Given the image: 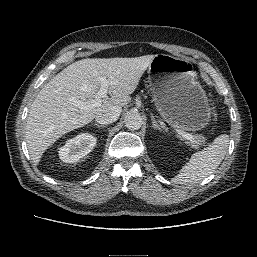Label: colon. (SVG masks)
<instances>
[{
  "instance_id": "5ec220e1",
  "label": "colon",
  "mask_w": 257,
  "mask_h": 257,
  "mask_svg": "<svg viewBox=\"0 0 257 257\" xmlns=\"http://www.w3.org/2000/svg\"><path fill=\"white\" fill-rule=\"evenodd\" d=\"M212 116H213V119H214V120H215V119H216V117H217V114H216V112H215L214 108H212Z\"/></svg>"
}]
</instances>
